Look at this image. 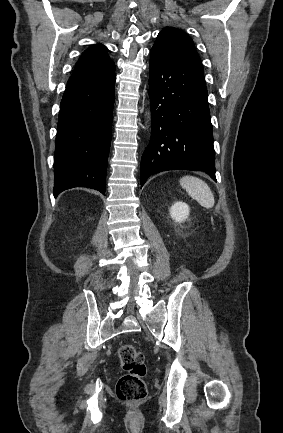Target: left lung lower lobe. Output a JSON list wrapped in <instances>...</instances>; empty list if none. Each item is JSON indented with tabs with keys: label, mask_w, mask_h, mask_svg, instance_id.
I'll list each match as a JSON object with an SVG mask.
<instances>
[{
	"label": "left lung lower lobe",
	"mask_w": 283,
	"mask_h": 433,
	"mask_svg": "<svg viewBox=\"0 0 283 433\" xmlns=\"http://www.w3.org/2000/svg\"><path fill=\"white\" fill-rule=\"evenodd\" d=\"M149 72L152 137L141 159V187L149 176L176 169L204 171L216 181L202 65L151 49Z\"/></svg>",
	"instance_id": "1"
}]
</instances>
